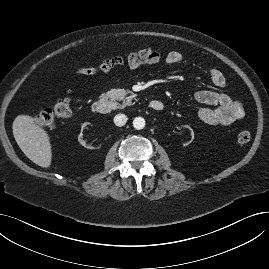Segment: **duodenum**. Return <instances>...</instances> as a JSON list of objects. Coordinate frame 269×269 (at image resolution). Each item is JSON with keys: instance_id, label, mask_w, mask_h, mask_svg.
<instances>
[{"instance_id": "obj_1", "label": "duodenum", "mask_w": 269, "mask_h": 269, "mask_svg": "<svg viewBox=\"0 0 269 269\" xmlns=\"http://www.w3.org/2000/svg\"><path fill=\"white\" fill-rule=\"evenodd\" d=\"M149 108L154 112H162L164 109V103L160 100H151L149 102ZM93 112L96 114H107L110 111V104L105 99H98L93 103Z\"/></svg>"}]
</instances>
